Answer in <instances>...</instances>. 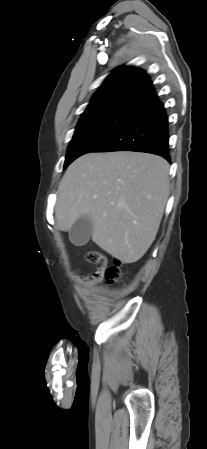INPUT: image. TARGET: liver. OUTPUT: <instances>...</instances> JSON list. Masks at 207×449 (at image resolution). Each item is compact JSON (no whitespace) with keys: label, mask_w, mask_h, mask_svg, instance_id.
Segmentation results:
<instances>
[{"label":"liver","mask_w":207,"mask_h":449,"mask_svg":"<svg viewBox=\"0 0 207 449\" xmlns=\"http://www.w3.org/2000/svg\"><path fill=\"white\" fill-rule=\"evenodd\" d=\"M57 194L59 230L88 216L93 242L122 263H134L158 232L169 196V164L147 153H89L68 167Z\"/></svg>","instance_id":"1"}]
</instances>
